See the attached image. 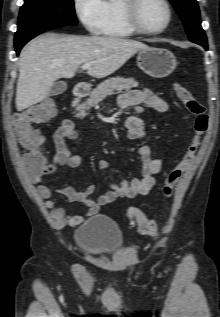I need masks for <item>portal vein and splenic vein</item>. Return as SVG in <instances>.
I'll return each mask as SVG.
<instances>
[{
  "label": "portal vein and splenic vein",
  "instance_id": "18ae733b",
  "mask_svg": "<svg viewBox=\"0 0 220 317\" xmlns=\"http://www.w3.org/2000/svg\"><path fill=\"white\" fill-rule=\"evenodd\" d=\"M92 63H85L83 64V66L81 67L82 70H87L91 67Z\"/></svg>",
  "mask_w": 220,
  "mask_h": 317
}]
</instances>
